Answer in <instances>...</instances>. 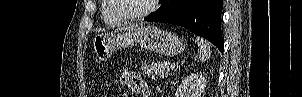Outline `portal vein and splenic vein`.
Here are the masks:
<instances>
[{
	"label": "portal vein and splenic vein",
	"instance_id": "18ae733b",
	"mask_svg": "<svg viewBox=\"0 0 302 97\" xmlns=\"http://www.w3.org/2000/svg\"><path fill=\"white\" fill-rule=\"evenodd\" d=\"M175 67H176V65H175V64H172V65H171V69H172V70H174V69H175Z\"/></svg>",
	"mask_w": 302,
	"mask_h": 97
}]
</instances>
